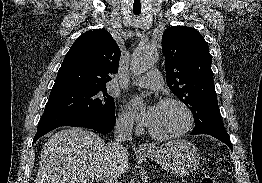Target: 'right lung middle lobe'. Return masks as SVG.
Wrapping results in <instances>:
<instances>
[{
	"mask_svg": "<svg viewBox=\"0 0 262 183\" xmlns=\"http://www.w3.org/2000/svg\"><path fill=\"white\" fill-rule=\"evenodd\" d=\"M114 99L105 87L78 88L51 92L44 114L74 113L103 116L114 113Z\"/></svg>",
	"mask_w": 262,
	"mask_h": 183,
	"instance_id": "obj_1",
	"label": "right lung middle lobe"
}]
</instances>
